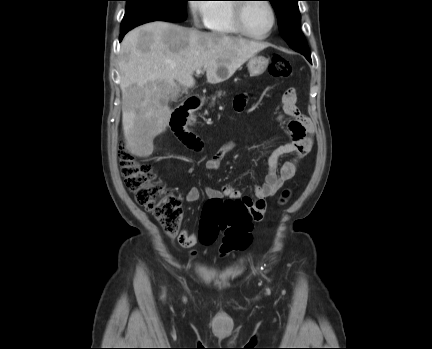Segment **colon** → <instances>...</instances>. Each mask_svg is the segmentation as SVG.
<instances>
[{"label":"colon","mask_w":432,"mask_h":349,"mask_svg":"<svg viewBox=\"0 0 432 349\" xmlns=\"http://www.w3.org/2000/svg\"><path fill=\"white\" fill-rule=\"evenodd\" d=\"M268 70L276 78H287L292 74L290 62L278 54L272 57ZM118 157L125 185L134 194L136 202L158 220L167 234H177L182 220L180 198L157 181L154 168L140 163L125 144L120 146ZM287 195L288 192H284L283 196ZM252 222L247 203L233 199L209 200L203 210L200 241L205 245L212 244L222 233L223 254L244 250L252 241Z\"/></svg>","instance_id":"colon-1"}]
</instances>
